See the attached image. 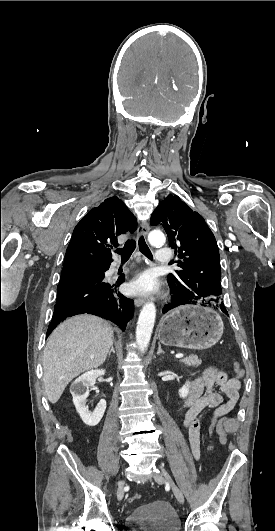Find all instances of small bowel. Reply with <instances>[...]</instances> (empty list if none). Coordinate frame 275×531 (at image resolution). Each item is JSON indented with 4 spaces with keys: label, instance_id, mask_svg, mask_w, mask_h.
<instances>
[{
    "label": "small bowel",
    "instance_id": "1",
    "mask_svg": "<svg viewBox=\"0 0 275 531\" xmlns=\"http://www.w3.org/2000/svg\"><path fill=\"white\" fill-rule=\"evenodd\" d=\"M240 380L229 378L224 371L206 368L193 379L189 391L179 408L183 427L188 434L193 455L199 458V434L204 413L213 409L211 417L217 421L228 414L239 398Z\"/></svg>",
    "mask_w": 275,
    "mask_h": 531
}]
</instances>
